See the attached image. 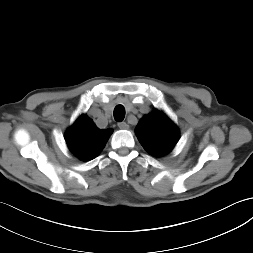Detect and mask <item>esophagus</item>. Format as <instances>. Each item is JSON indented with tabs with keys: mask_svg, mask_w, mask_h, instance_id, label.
Segmentation results:
<instances>
[{
	"mask_svg": "<svg viewBox=\"0 0 253 253\" xmlns=\"http://www.w3.org/2000/svg\"><path fill=\"white\" fill-rule=\"evenodd\" d=\"M118 127H119L120 129L126 130V129L129 128V125H128L126 122H119V123H118Z\"/></svg>",
	"mask_w": 253,
	"mask_h": 253,
	"instance_id": "34e87169",
	"label": "esophagus"
}]
</instances>
